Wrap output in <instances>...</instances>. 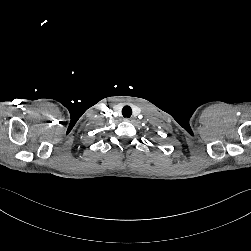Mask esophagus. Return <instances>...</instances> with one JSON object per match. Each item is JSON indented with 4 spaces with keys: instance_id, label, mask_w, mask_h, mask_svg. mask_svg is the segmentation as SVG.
Masks as SVG:
<instances>
[{
    "instance_id": "34e87169",
    "label": "esophagus",
    "mask_w": 251,
    "mask_h": 251,
    "mask_svg": "<svg viewBox=\"0 0 251 251\" xmlns=\"http://www.w3.org/2000/svg\"><path fill=\"white\" fill-rule=\"evenodd\" d=\"M124 120L127 121V122H131L132 121L131 118H125Z\"/></svg>"
}]
</instances>
